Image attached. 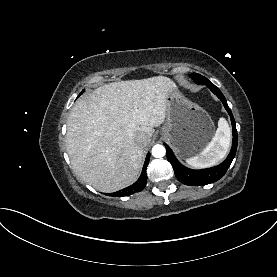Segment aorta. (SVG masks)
<instances>
[{
	"label": "aorta",
	"mask_w": 277,
	"mask_h": 277,
	"mask_svg": "<svg viewBox=\"0 0 277 277\" xmlns=\"http://www.w3.org/2000/svg\"><path fill=\"white\" fill-rule=\"evenodd\" d=\"M165 153H166V150L163 145L157 144L152 148V155L155 158H161L165 155Z\"/></svg>",
	"instance_id": "aorta-1"
}]
</instances>
